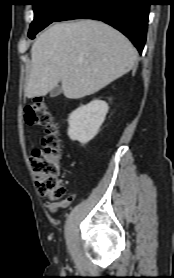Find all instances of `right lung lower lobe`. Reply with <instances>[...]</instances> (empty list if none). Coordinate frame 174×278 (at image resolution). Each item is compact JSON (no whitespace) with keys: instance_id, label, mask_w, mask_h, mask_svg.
<instances>
[{"instance_id":"obj_1","label":"right lung lower lobe","mask_w":174,"mask_h":278,"mask_svg":"<svg viewBox=\"0 0 174 278\" xmlns=\"http://www.w3.org/2000/svg\"><path fill=\"white\" fill-rule=\"evenodd\" d=\"M148 0H75L55 21L101 20L126 35L141 53L147 32Z\"/></svg>"}]
</instances>
